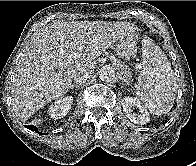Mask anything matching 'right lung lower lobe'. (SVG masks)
Returning <instances> with one entry per match:
<instances>
[{
  "label": "right lung lower lobe",
  "instance_id": "98d812e1",
  "mask_svg": "<svg viewBox=\"0 0 196 166\" xmlns=\"http://www.w3.org/2000/svg\"><path fill=\"white\" fill-rule=\"evenodd\" d=\"M26 128H28V129H30V130H32V131H35V132H37V133H39V134L42 135V133L38 132V130H37V128H36L35 126L29 125V126H26ZM43 135H44V134H43Z\"/></svg>",
  "mask_w": 196,
  "mask_h": 166
}]
</instances>
